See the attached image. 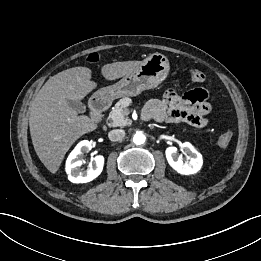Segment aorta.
<instances>
[{
    "label": "aorta",
    "mask_w": 261,
    "mask_h": 261,
    "mask_svg": "<svg viewBox=\"0 0 261 261\" xmlns=\"http://www.w3.org/2000/svg\"><path fill=\"white\" fill-rule=\"evenodd\" d=\"M146 137L142 132H137L134 136H133V142L136 145H141L145 142Z\"/></svg>",
    "instance_id": "762f6f07"
}]
</instances>
